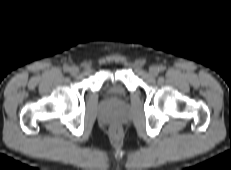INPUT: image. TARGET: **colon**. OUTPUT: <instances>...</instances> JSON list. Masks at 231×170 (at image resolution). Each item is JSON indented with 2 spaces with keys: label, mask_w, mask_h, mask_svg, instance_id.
Returning a JSON list of instances; mask_svg holds the SVG:
<instances>
[{
  "label": "colon",
  "mask_w": 231,
  "mask_h": 170,
  "mask_svg": "<svg viewBox=\"0 0 231 170\" xmlns=\"http://www.w3.org/2000/svg\"><path fill=\"white\" fill-rule=\"evenodd\" d=\"M111 134H112L113 136H115V137L119 136V135H120V130H119V128L113 127V128L111 129Z\"/></svg>",
  "instance_id": "1"
}]
</instances>
